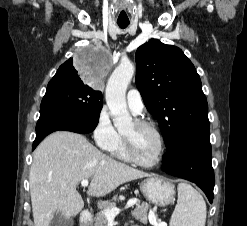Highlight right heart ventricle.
I'll list each match as a JSON object with an SVG mask.
<instances>
[{"label": "right heart ventricle", "mask_w": 247, "mask_h": 226, "mask_svg": "<svg viewBox=\"0 0 247 226\" xmlns=\"http://www.w3.org/2000/svg\"><path fill=\"white\" fill-rule=\"evenodd\" d=\"M110 154L120 160L128 161L123 147L122 133H118L115 144L108 150Z\"/></svg>", "instance_id": "1"}]
</instances>
